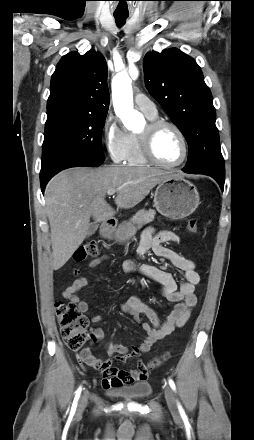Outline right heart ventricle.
I'll return each mask as SVG.
<instances>
[{"mask_svg": "<svg viewBox=\"0 0 254 440\" xmlns=\"http://www.w3.org/2000/svg\"><path fill=\"white\" fill-rule=\"evenodd\" d=\"M147 116V115H146ZM149 120L156 119V116H147ZM132 135V142L129 153L126 158V162L131 166H145L149 163V161L144 157L142 150L140 139L137 134Z\"/></svg>", "mask_w": 254, "mask_h": 440, "instance_id": "obj_1", "label": "right heart ventricle"}]
</instances>
